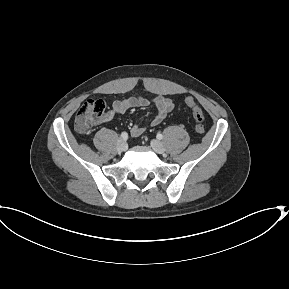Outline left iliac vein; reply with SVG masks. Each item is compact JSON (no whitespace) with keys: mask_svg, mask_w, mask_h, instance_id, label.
Segmentation results:
<instances>
[{"mask_svg":"<svg viewBox=\"0 0 289 289\" xmlns=\"http://www.w3.org/2000/svg\"><path fill=\"white\" fill-rule=\"evenodd\" d=\"M151 147L156 153L163 154L165 152V147L159 140H152Z\"/></svg>","mask_w":289,"mask_h":289,"instance_id":"1","label":"left iliac vein"}]
</instances>
